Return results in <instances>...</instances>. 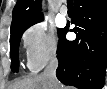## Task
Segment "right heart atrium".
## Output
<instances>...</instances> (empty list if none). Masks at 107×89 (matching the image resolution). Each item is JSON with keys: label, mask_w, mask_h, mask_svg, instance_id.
Listing matches in <instances>:
<instances>
[{"label": "right heart atrium", "mask_w": 107, "mask_h": 89, "mask_svg": "<svg viewBox=\"0 0 107 89\" xmlns=\"http://www.w3.org/2000/svg\"><path fill=\"white\" fill-rule=\"evenodd\" d=\"M26 62L29 70L42 69L57 53L55 31L45 22H37L25 30L22 35Z\"/></svg>", "instance_id": "right-heart-atrium-1"}]
</instances>
